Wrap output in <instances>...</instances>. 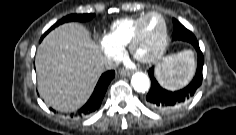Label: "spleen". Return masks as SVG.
<instances>
[{
	"label": "spleen",
	"instance_id": "1",
	"mask_svg": "<svg viewBox=\"0 0 236 135\" xmlns=\"http://www.w3.org/2000/svg\"><path fill=\"white\" fill-rule=\"evenodd\" d=\"M194 72L195 58L192 50L169 55L156 67V77L159 83L172 91L188 84Z\"/></svg>",
	"mask_w": 236,
	"mask_h": 135
}]
</instances>
